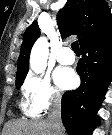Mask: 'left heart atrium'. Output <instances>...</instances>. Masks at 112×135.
I'll return each instance as SVG.
<instances>
[{"instance_id": "left-heart-atrium-1", "label": "left heart atrium", "mask_w": 112, "mask_h": 135, "mask_svg": "<svg viewBox=\"0 0 112 135\" xmlns=\"http://www.w3.org/2000/svg\"><path fill=\"white\" fill-rule=\"evenodd\" d=\"M54 81L61 90L71 89L76 85L77 76L71 68L58 67L53 73Z\"/></svg>"}]
</instances>
